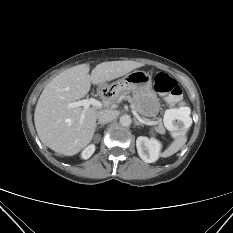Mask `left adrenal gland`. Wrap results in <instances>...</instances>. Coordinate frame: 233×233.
Wrapping results in <instances>:
<instances>
[{
	"mask_svg": "<svg viewBox=\"0 0 233 233\" xmlns=\"http://www.w3.org/2000/svg\"><path fill=\"white\" fill-rule=\"evenodd\" d=\"M134 122H135V126H142L143 127V125L139 121H137L136 119H134Z\"/></svg>",
	"mask_w": 233,
	"mask_h": 233,
	"instance_id": "left-adrenal-gland-1",
	"label": "left adrenal gland"
}]
</instances>
